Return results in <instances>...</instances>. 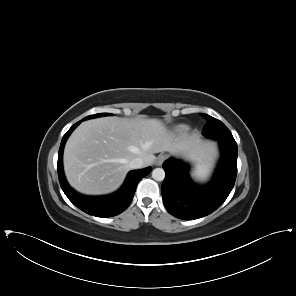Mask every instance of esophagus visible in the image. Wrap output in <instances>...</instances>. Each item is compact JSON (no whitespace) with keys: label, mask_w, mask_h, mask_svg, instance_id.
Here are the masks:
<instances>
[{"label":"esophagus","mask_w":296,"mask_h":296,"mask_svg":"<svg viewBox=\"0 0 296 296\" xmlns=\"http://www.w3.org/2000/svg\"><path fill=\"white\" fill-rule=\"evenodd\" d=\"M166 155H159L156 159V165L160 166L166 160Z\"/></svg>","instance_id":"1"}]
</instances>
